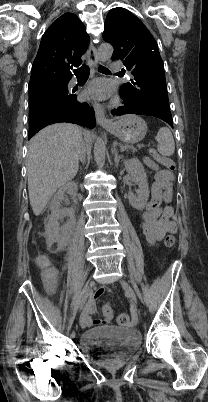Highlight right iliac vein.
Returning a JSON list of instances; mask_svg holds the SVG:
<instances>
[{
    "label": "right iliac vein",
    "instance_id": "obj_1",
    "mask_svg": "<svg viewBox=\"0 0 208 402\" xmlns=\"http://www.w3.org/2000/svg\"><path fill=\"white\" fill-rule=\"evenodd\" d=\"M90 291H91V282L88 281L86 283V285L84 287V290H83V293H82V299H81V302H80L79 310L83 309V307H84V305H85V303L87 301V298H88V296L90 294Z\"/></svg>",
    "mask_w": 208,
    "mask_h": 402
}]
</instances>
